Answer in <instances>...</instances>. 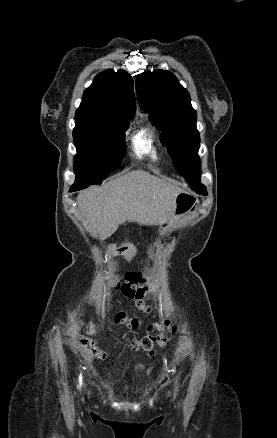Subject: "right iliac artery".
I'll return each instance as SVG.
<instances>
[{
	"mask_svg": "<svg viewBox=\"0 0 277 438\" xmlns=\"http://www.w3.org/2000/svg\"><path fill=\"white\" fill-rule=\"evenodd\" d=\"M79 381H80V385L82 384V377L80 376V378H79Z\"/></svg>",
	"mask_w": 277,
	"mask_h": 438,
	"instance_id": "right-iliac-artery-1",
	"label": "right iliac artery"
}]
</instances>
